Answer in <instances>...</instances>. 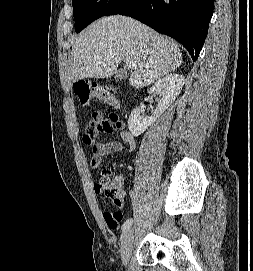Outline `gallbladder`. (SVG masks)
<instances>
[{
  "instance_id": "1",
  "label": "gallbladder",
  "mask_w": 253,
  "mask_h": 271,
  "mask_svg": "<svg viewBox=\"0 0 253 271\" xmlns=\"http://www.w3.org/2000/svg\"><path fill=\"white\" fill-rule=\"evenodd\" d=\"M128 76V73L126 70L124 69H120L117 71L116 75H115V79L116 80H123V79H126Z\"/></svg>"
}]
</instances>
